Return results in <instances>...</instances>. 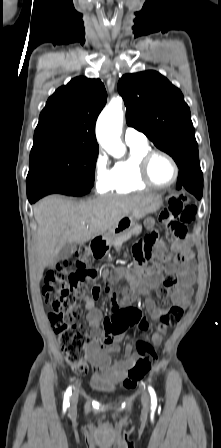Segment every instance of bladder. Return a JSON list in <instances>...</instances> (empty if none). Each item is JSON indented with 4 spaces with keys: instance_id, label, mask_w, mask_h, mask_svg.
<instances>
[{
    "instance_id": "bladder-1",
    "label": "bladder",
    "mask_w": 221,
    "mask_h": 448,
    "mask_svg": "<svg viewBox=\"0 0 221 448\" xmlns=\"http://www.w3.org/2000/svg\"><path fill=\"white\" fill-rule=\"evenodd\" d=\"M88 383L93 391L101 395H111L117 389L114 382L101 376H91Z\"/></svg>"
}]
</instances>
